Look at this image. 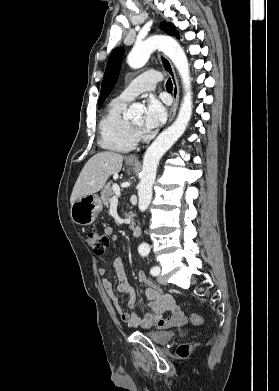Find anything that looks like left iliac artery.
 <instances>
[{"label":"left iliac artery","instance_id":"obj_1","mask_svg":"<svg viewBox=\"0 0 279 391\" xmlns=\"http://www.w3.org/2000/svg\"><path fill=\"white\" fill-rule=\"evenodd\" d=\"M148 253H149V250H146V249L140 250V254H141L142 256H147ZM150 273H151V275H153V276H157V275H159V273H160V268L157 267V266H154V267L151 268Z\"/></svg>","mask_w":279,"mask_h":391}]
</instances>
